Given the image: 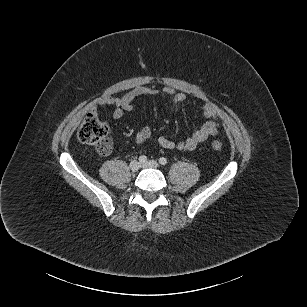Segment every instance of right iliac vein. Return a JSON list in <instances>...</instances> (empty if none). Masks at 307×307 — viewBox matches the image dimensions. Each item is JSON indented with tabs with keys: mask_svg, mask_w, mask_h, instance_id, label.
I'll list each match as a JSON object with an SVG mask.
<instances>
[{
	"mask_svg": "<svg viewBox=\"0 0 307 307\" xmlns=\"http://www.w3.org/2000/svg\"><path fill=\"white\" fill-rule=\"evenodd\" d=\"M129 168L133 172H137L140 168V163L137 160H133L129 164Z\"/></svg>",
	"mask_w": 307,
	"mask_h": 307,
	"instance_id": "right-iliac-vein-1",
	"label": "right iliac vein"
}]
</instances>
